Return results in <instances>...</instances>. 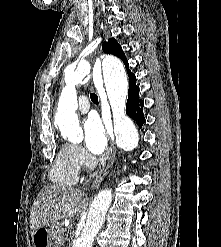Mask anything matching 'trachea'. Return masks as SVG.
<instances>
[{
    "mask_svg": "<svg viewBox=\"0 0 221 247\" xmlns=\"http://www.w3.org/2000/svg\"><path fill=\"white\" fill-rule=\"evenodd\" d=\"M90 98H91V100H92L93 103H95V104H98L99 103L98 96L95 93H91L90 94Z\"/></svg>",
    "mask_w": 221,
    "mask_h": 247,
    "instance_id": "1",
    "label": "trachea"
}]
</instances>
